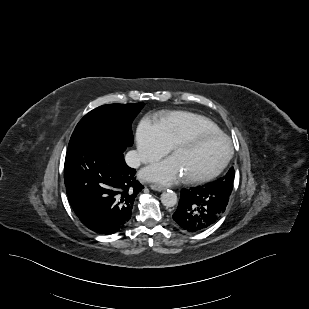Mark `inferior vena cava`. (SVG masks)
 <instances>
[{"label": "inferior vena cava", "instance_id": "inferior-vena-cava-1", "mask_svg": "<svg viewBox=\"0 0 309 309\" xmlns=\"http://www.w3.org/2000/svg\"><path fill=\"white\" fill-rule=\"evenodd\" d=\"M150 159V157L140 154L137 151H130L125 156V161L127 165L132 168H138L141 162H147Z\"/></svg>", "mask_w": 309, "mask_h": 309}]
</instances>
